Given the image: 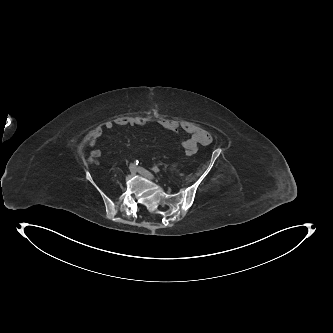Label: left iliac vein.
Returning a JSON list of instances; mask_svg holds the SVG:
<instances>
[{
  "label": "left iliac vein",
  "mask_w": 333,
  "mask_h": 333,
  "mask_svg": "<svg viewBox=\"0 0 333 333\" xmlns=\"http://www.w3.org/2000/svg\"><path fill=\"white\" fill-rule=\"evenodd\" d=\"M136 172H138L139 174H141L142 176H144V177H146V178H148L150 180H155L156 179L151 172H149L148 170H146V169H144L142 167H138L136 169Z\"/></svg>",
  "instance_id": "4c4485c4"
}]
</instances>
